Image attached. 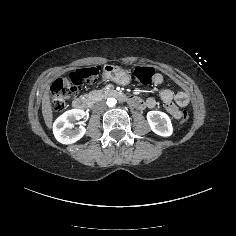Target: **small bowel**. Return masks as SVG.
Wrapping results in <instances>:
<instances>
[{
    "instance_id": "1",
    "label": "small bowel",
    "mask_w": 236,
    "mask_h": 236,
    "mask_svg": "<svg viewBox=\"0 0 236 236\" xmlns=\"http://www.w3.org/2000/svg\"><path fill=\"white\" fill-rule=\"evenodd\" d=\"M162 80H163L162 76L160 74H156L154 79H153V82L155 84H160L162 82ZM163 97L166 101H168L171 97V93L169 91H165L164 94H163ZM154 103H155V101H154L153 98H149L147 100V105L149 107H153ZM177 103H178L179 106L187 105L188 104L187 96L184 93L179 94L178 97H177ZM169 110L175 118L178 119L181 116V111L179 110L178 107L170 106Z\"/></svg>"
}]
</instances>
